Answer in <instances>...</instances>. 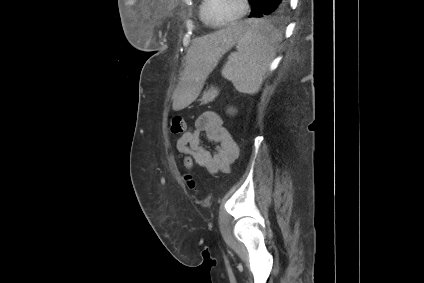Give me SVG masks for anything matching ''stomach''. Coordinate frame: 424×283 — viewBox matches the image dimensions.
I'll return each mask as SVG.
<instances>
[{
    "instance_id": "1",
    "label": "stomach",
    "mask_w": 424,
    "mask_h": 283,
    "mask_svg": "<svg viewBox=\"0 0 424 283\" xmlns=\"http://www.w3.org/2000/svg\"><path fill=\"white\" fill-rule=\"evenodd\" d=\"M207 95H209V93H205V92H204L203 97H202V99H201L200 101H202V102L207 101V100H205V98H208V97H209V96H207ZM205 96H206V97H205Z\"/></svg>"
}]
</instances>
